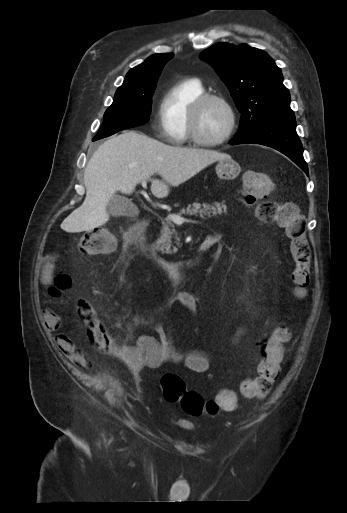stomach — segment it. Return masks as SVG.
Listing matches in <instances>:
<instances>
[{"mask_svg":"<svg viewBox=\"0 0 347 513\" xmlns=\"http://www.w3.org/2000/svg\"><path fill=\"white\" fill-rule=\"evenodd\" d=\"M217 176L222 180H233L241 172L240 165L232 158L219 160L215 167Z\"/></svg>","mask_w":347,"mask_h":513,"instance_id":"1","label":"stomach"}]
</instances>
